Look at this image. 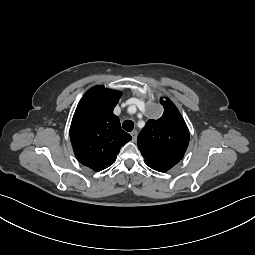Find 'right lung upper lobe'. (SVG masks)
I'll list each match as a JSON object with an SVG mask.
<instances>
[{
	"label": "right lung upper lobe",
	"mask_w": 255,
	"mask_h": 255,
	"mask_svg": "<svg viewBox=\"0 0 255 255\" xmlns=\"http://www.w3.org/2000/svg\"><path fill=\"white\" fill-rule=\"evenodd\" d=\"M120 96L118 91L94 86L83 96L74 113L70 139L75 156L94 171L112 165L120 148L132 139L113 114Z\"/></svg>",
	"instance_id": "cb5924a9"
}]
</instances>
